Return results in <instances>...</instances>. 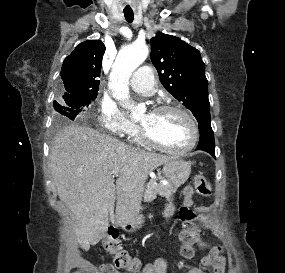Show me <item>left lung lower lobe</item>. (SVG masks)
Segmentation results:
<instances>
[{
  "label": "left lung lower lobe",
  "mask_w": 285,
  "mask_h": 273,
  "mask_svg": "<svg viewBox=\"0 0 285 273\" xmlns=\"http://www.w3.org/2000/svg\"><path fill=\"white\" fill-rule=\"evenodd\" d=\"M200 139L197 146L198 150H203L215 157V141L211 128V121L205 120L199 123Z\"/></svg>",
  "instance_id": "1"
}]
</instances>
